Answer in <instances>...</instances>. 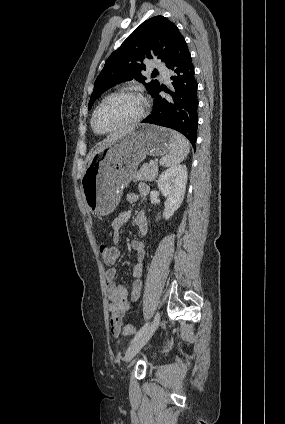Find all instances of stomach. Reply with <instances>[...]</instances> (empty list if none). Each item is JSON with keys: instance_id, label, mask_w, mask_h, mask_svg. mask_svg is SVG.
Wrapping results in <instances>:
<instances>
[{"instance_id": "stomach-1", "label": "stomach", "mask_w": 285, "mask_h": 424, "mask_svg": "<svg viewBox=\"0 0 285 424\" xmlns=\"http://www.w3.org/2000/svg\"><path fill=\"white\" fill-rule=\"evenodd\" d=\"M173 131L138 125L117 141L96 153L81 179V189L89 210L99 216L110 214L123 189L133 180L139 163L147 155L163 156L173 148Z\"/></svg>"}]
</instances>
